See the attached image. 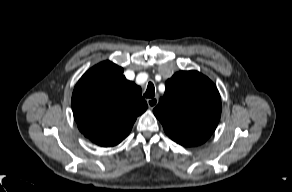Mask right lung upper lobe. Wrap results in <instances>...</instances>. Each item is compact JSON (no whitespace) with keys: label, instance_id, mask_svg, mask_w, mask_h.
Segmentation results:
<instances>
[{"label":"right lung upper lobe","instance_id":"1","mask_svg":"<svg viewBox=\"0 0 292 192\" xmlns=\"http://www.w3.org/2000/svg\"><path fill=\"white\" fill-rule=\"evenodd\" d=\"M72 109L79 130L97 145L110 147L128 136L147 103L141 88L125 78L123 69L105 61L89 69L78 81Z\"/></svg>","mask_w":292,"mask_h":192}]
</instances>
